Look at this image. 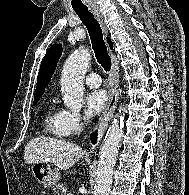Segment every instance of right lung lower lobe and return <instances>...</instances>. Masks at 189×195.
<instances>
[{
    "mask_svg": "<svg viewBox=\"0 0 189 195\" xmlns=\"http://www.w3.org/2000/svg\"><path fill=\"white\" fill-rule=\"evenodd\" d=\"M96 139H97V133H92V135H91V141L93 142V143H95V141H96Z\"/></svg>",
    "mask_w": 189,
    "mask_h": 195,
    "instance_id": "98d812e1",
    "label": "right lung lower lobe"
}]
</instances>
